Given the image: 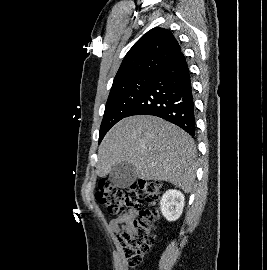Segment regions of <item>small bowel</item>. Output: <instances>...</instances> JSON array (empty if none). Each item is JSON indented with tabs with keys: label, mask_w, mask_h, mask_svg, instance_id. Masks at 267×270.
<instances>
[{
	"label": "small bowel",
	"mask_w": 267,
	"mask_h": 270,
	"mask_svg": "<svg viewBox=\"0 0 267 270\" xmlns=\"http://www.w3.org/2000/svg\"><path fill=\"white\" fill-rule=\"evenodd\" d=\"M136 217H137L136 211L127 212L115 219H112L109 222V228L112 232L118 233L122 229L130 226L131 223L136 219Z\"/></svg>",
	"instance_id": "small-bowel-1"
}]
</instances>
